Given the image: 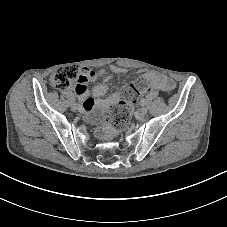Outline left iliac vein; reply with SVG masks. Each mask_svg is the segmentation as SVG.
<instances>
[{"mask_svg": "<svg viewBox=\"0 0 227 227\" xmlns=\"http://www.w3.org/2000/svg\"><path fill=\"white\" fill-rule=\"evenodd\" d=\"M147 108L146 107H142L140 110H139V115L141 116V117H144V116H146V114H147Z\"/></svg>", "mask_w": 227, "mask_h": 227, "instance_id": "4c4485c4", "label": "left iliac vein"}]
</instances>
